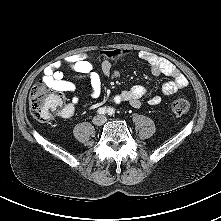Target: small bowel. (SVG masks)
I'll return each mask as SVG.
<instances>
[{
    "instance_id": "c3829d8e",
    "label": "small bowel",
    "mask_w": 221,
    "mask_h": 221,
    "mask_svg": "<svg viewBox=\"0 0 221 221\" xmlns=\"http://www.w3.org/2000/svg\"><path fill=\"white\" fill-rule=\"evenodd\" d=\"M138 57L148 65L154 76L166 75L171 78L162 87L164 95H171L188 85L186 76L169 60L147 51H140ZM63 67H68L72 70L71 78L68 79L65 77L62 71ZM100 69L101 73L95 70L93 65L84 59L81 54H77L55 61L44 70L43 82L47 86L54 90L73 94L70 101L62 110L61 114L64 118L71 117L80 102V97L74 94L76 91L75 82L77 80H88L90 83L89 97L91 99H98L103 89V76L109 79H117L123 73L122 70L113 69L111 62L108 60L101 63ZM148 94L149 91L147 88L136 85L116 94L114 101H126L133 107H140L142 105V98ZM160 102L161 97L159 95H152L148 99V104L151 106L158 105Z\"/></svg>"
}]
</instances>
